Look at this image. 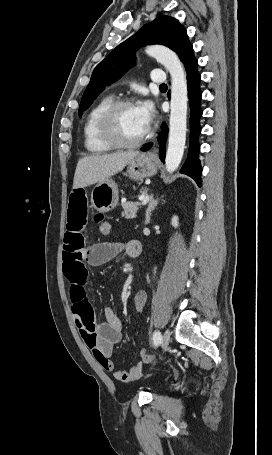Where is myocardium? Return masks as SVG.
Segmentation results:
<instances>
[{
	"label": "myocardium",
	"mask_w": 272,
	"mask_h": 455,
	"mask_svg": "<svg viewBox=\"0 0 272 455\" xmlns=\"http://www.w3.org/2000/svg\"><path fill=\"white\" fill-rule=\"evenodd\" d=\"M136 106L135 102L129 98H122L112 101L102 112L99 119V133L101 138L110 146L119 149H132L142 145L148 138L149 131L137 140L124 141L120 138L116 129V119L118 113L126 107Z\"/></svg>",
	"instance_id": "f54148a6"
}]
</instances>
